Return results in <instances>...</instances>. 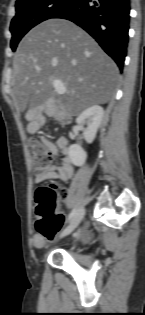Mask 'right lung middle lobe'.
I'll return each instance as SVG.
<instances>
[{"instance_id": "obj_1", "label": "right lung middle lobe", "mask_w": 145, "mask_h": 315, "mask_svg": "<svg viewBox=\"0 0 145 315\" xmlns=\"http://www.w3.org/2000/svg\"><path fill=\"white\" fill-rule=\"evenodd\" d=\"M74 0H21L16 2V15L12 19L11 48L15 51L21 38L37 24L53 18Z\"/></svg>"}]
</instances>
